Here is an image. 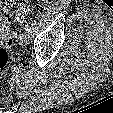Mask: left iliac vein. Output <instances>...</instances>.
Here are the masks:
<instances>
[{
    "label": "left iliac vein",
    "mask_w": 113,
    "mask_h": 113,
    "mask_svg": "<svg viewBox=\"0 0 113 113\" xmlns=\"http://www.w3.org/2000/svg\"><path fill=\"white\" fill-rule=\"evenodd\" d=\"M29 41V38L26 34V31H24L22 34L19 35L18 37V43L19 45H23Z\"/></svg>",
    "instance_id": "4c4485c4"
}]
</instances>
